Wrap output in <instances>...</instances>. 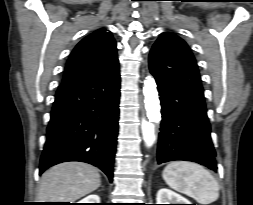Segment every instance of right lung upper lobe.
I'll list each match as a JSON object with an SVG mask.
<instances>
[{
	"label": "right lung upper lobe",
	"mask_w": 253,
	"mask_h": 205,
	"mask_svg": "<svg viewBox=\"0 0 253 205\" xmlns=\"http://www.w3.org/2000/svg\"><path fill=\"white\" fill-rule=\"evenodd\" d=\"M116 42L101 28L85 37L74 48L66 63L62 83L100 73L118 62Z\"/></svg>",
	"instance_id": "cb5924a9"
}]
</instances>
